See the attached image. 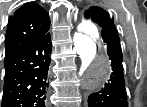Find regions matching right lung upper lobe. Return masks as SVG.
Returning a JSON list of instances; mask_svg holds the SVG:
<instances>
[{
    "mask_svg": "<svg viewBox=\"0 0 147 107\" xmlns=\"http://www.w3.org/2000/svg\"><path fill=\"white\" fill-rule=\"evenodd\" d=\"M49 28V14L35 2L25 3L9 18L5 36V57L46 35Z\"/></svg>",
    "mask_w": 147,
    "mask_h": 107,
    "instance_id": "cb5924a9",
    "label": "right lung upper lobe"
}]
</instances>
